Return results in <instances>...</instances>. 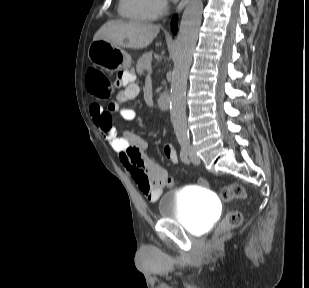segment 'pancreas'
I'll return each instance as SVG.
<instances>
[{
  "mask_svg": "<svg viewBox=\"0 0 309 288\" xmlns=\"http://www.w3.org/2000/svg\"><path fill=\"white\" fill-rule=\"evenodd\" d=\"M152 52L143 54L137 61L136 70L139 75H142L145 70H148V66L151 65Z\"/></svg>",
  "mask_w": 309,
  "mask_h": 288,
  "instance_id": "pancreas-1",
  "label": "pancreas"
}]
</instances>
